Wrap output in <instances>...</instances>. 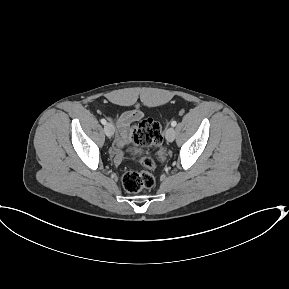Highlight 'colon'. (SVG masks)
I'll return each instance as SVG.
<instances>
[{"label": "colon", "mask_w": 289, "mask_h": 289, "mask_svg": "<svg viewBox=\"0 0 289 289\" xmlns=\"http://www.w3.org/2000/svg\"><path fill=\"white\" fill-rule=\"evenodd\" d=\"M133 140L136 145L142 147L159 146L163 142L162 127L159 122L151 118L144 119L138 123L133 130ZM143 170L129 169L122 177V184L128 193H138L144 189H150L155 184L153 171L155 161L146 156L140 162Z\"/></svg>", "instance_id": "colon-1"}]
</instances>
